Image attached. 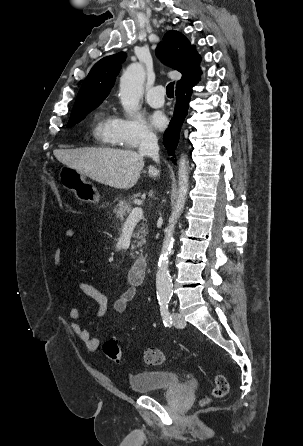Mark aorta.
I'll list each match as a JSON object with an SVG mask.
<instances>
[{"label":"aorta","instance_id":"obj_1","mask_svg":"<svg viewBox=\"0 0 303 446\" xmlns=\"http://www.w3.org/2000/svg\"><path fill=\"white\" fill-rule=\"evenodd\" d=\"M145 71L141 64L133 63L127 67L120 80L119 97L125 112L133 116L138 110L140 98L143 95ZM189 162L181 155L178 167L179 189L175 207L169 218V225L165 230V237L158 261L156 274L157 298L168 301L172 295V280L169 274V255L174 245V228L180 217L187 197L189 187Z\"/></svg>","mask_w":303,"mask_h":446}]
</instances>
